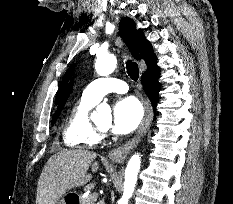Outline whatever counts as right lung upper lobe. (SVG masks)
Instances as JSON below:
<instances>
[{
	"label": "right lung upper lobe",
	"instance_id": "1",
	"mask_svg": "<svg viewBox=\"0 0 233 204\" xmlns=\"http://www.w3.org/2000/svg\"><path fill=\"white\" fill-rule=\"evenodd\" d=\"M119 33L129 47V50L134 58L136 60L144 59L147 65V70L156 66L157 60L155 54L153 53L151 43L145 38L141 29H135V23L132 19L126 17L121 20L119 25ZM73 69L74 65L70 66L64 75L57 93L56 103L61 96L63 89L65 88L73 72Z\"/></svg>",
	"mask_w": 233,
	"mask_h": 204
}]
</instances>
